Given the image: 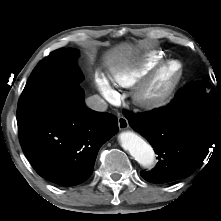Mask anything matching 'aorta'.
I'll return each instance as SVG.
<instances>
[{
    "label": "aorta",
    "mask_w": 221,
    "mask_h": 221,
    "mask_svg": "<svg viewBox=\"0 0 221 221\" xmlns=\"http://www.w3.org/2000/svg\"><path fill=\"white\" fill-rule=\"evenodd\" d=\"M118 140L122 148L142 166L150 167L155 159L153 148L141 137L131 131L121 132Z\"/></svg>",
    "instance_id": "762f6f07"
}]
</instances>
